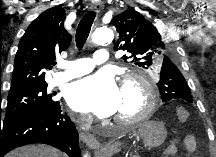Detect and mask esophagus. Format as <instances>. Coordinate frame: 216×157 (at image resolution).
<instances>
[{
  "label": "esophagus",
  "mask_w": 216,
  "mask_h": 157,
  "mask_svg": "<svg viewBox=\"0 0 216 157\" xmlns=\"http://www.w3.org/2000/svg\"><path fill=\"white\" fill-rule=\"evenodd\" d=\"M104 8L103 2H96L91 5L90 10L99 13ZM81 139L92 149L102 150V145L98 142L96 137L90 133H80Z\"/></svg>",
  "instance_id": "esophagus-1"
}]
</instances>
